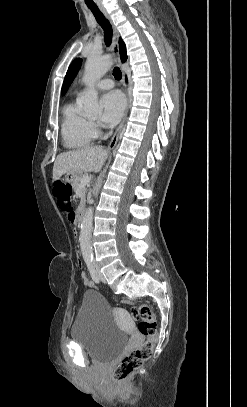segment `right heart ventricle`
Listing matches in <instances>:
<instances>
[{
    "label": "right heart ventricle",
    "instance_id": "1",
    "mask_svg": "<svg viewBox=\"0 0 247 407\" xmlns=\"http://www.w3.org/2000/svg\"><path fill=\"white\" fill-rule=\"evenodd\" d=\"M61 136L64 146L69 149L84 148L95 138L92 122L73 102L67 103L63 108Z\"/></svg>",
    "mask_w": 247,
    "mask_h": 407
}]
</instances>
